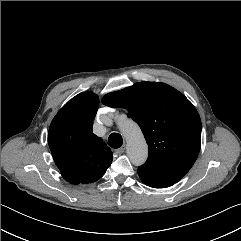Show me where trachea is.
Masks as SVG:
<instances>
[{"mask_svg":"<svg viewBox=\"0 0 241 241\" xmlns=\"http://www.w3.org/2000/svg\"><path fill=\"white\" fill-rule=\"evenodd\" d=\"M123 144L122 136L118 133H112L108 138V145L112 148H119Z\"/></svg>","mask_w":241,"mask_h":241,"instance_id":"obj_1","label":"trachea"}]
</instances>
